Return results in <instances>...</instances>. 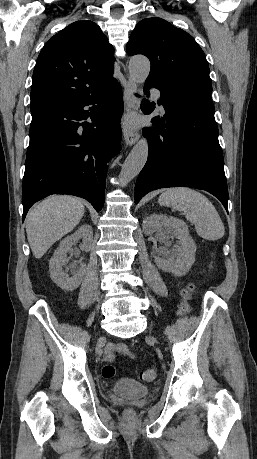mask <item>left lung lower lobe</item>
Wrapping results in <instances>:
<instances>
[{
	"label": "left lung lower lobe",
	"mask_w": 257,
	"mask_h": 459,
	"mask_svg": "<svg viewBox=\"0 0 257 459\" xmlns=\"http://www.w3.org/2000/svg\"><path fill=\"white\" fill-rule=\"evenodd\" d=\"M149 86L153 85L146 83L145 94H149ZM157 89L165 115L152 118L154 128L143 129L149 154L136 181L135 203L152 190L184 186L210 192L228 212V189L211 92ZM152 105L145 99L141 109L149 114L154 110Z\"/></svg>",
	"instance_id": "1"
}]
</instances>
